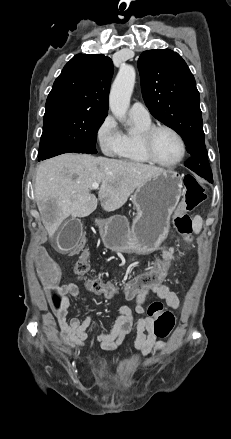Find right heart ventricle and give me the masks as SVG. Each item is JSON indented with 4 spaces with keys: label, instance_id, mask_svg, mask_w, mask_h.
I'll return each mask as SVG.
<instances>
[{
    "label": "right heart ventricle",
    "instance_id": "obj_1",
    "mask_svg": "<svg viewBox=\"0 0 231 439\" xmlns=\"http://www.w3.org/2000/svg\"><path fill=\"white\" fill-rule=\"evenodd\" d=\"M132 122L134 126L132 131L121 132L120 146L115 155L130 163L148 164L150 161L140 147L139 136L142 131L151 126V121L132 118Z\"/></svg>",
    "mask_w": 231,
    "mask_h": 439
}]
</instances>
